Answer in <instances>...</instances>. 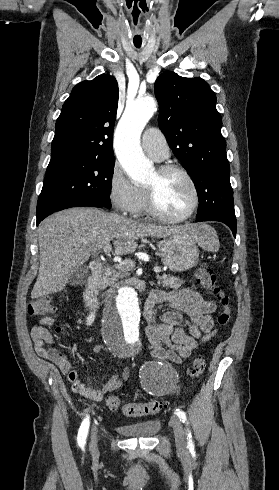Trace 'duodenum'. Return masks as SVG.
<instances>
[{"instance_id": "duodenum-1", "label": "duodenum", "mask_w": 279, "mask_h": 490, "mask_svg": "<svg viewBox=\"0 0 279 490\" xmlns=\"http://www.w3.org/2000/svg\"><path fill=\"white\" fill-rule=\"evenodd\" d=\"M91 276L88 280L87 286L83 293V299L87 308L91 311H95L98 306L96 282L104 270V265L100 261H93L90 264ZM127 286H132L137 289H143V283L137 279H129L124 282Z\"/></svg>"}]
</instances>
